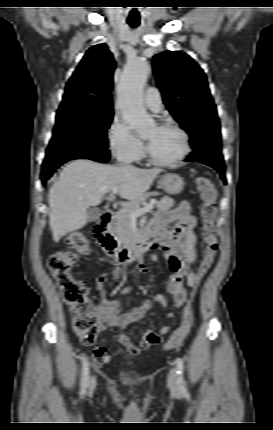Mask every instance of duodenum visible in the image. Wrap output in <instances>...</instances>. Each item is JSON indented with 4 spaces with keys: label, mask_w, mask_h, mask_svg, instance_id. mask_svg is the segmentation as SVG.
Instances as JSON below:
<instances>
[{
    "label": "duodenum",
    "mask_w": 273,
    "mask_h": 430,
    "mask_svg": "<svg viewBox=\"0 0 273 430\" xmlns=\"http://www.w3.org/2000/svg\"><path fill=\"white\" fill-rule=\"evenodd\" d=\"M113 217V210L105 211L94 228L97 242L111 260L124 266L135 260L138 255L153 249L156 239L149 232L138 235L127 245L119 246L110 232Z\"/></svg>",
    "instance_id": "1"
}]
</instances>
